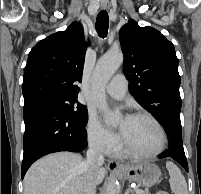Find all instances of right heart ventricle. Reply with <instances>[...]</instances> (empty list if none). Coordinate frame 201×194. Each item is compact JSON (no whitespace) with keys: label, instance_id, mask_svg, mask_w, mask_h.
Instances as JSON below:
<instances>
[{"label":"right heart ventricle","instance_id":"obj_1","mask_svg":"<svg viewBox=\"0 0 201 194\" xmlns=\"http://www.w3.org/2000/svg\"><path fill=\"white\" fill-rule=\"evenodd\" d=\"M114 155L116 156H121L122 155V151L120 149H116L114 152H112Z\"/></svg>","mask_w":201,"mask_h":194}]
</instances>
